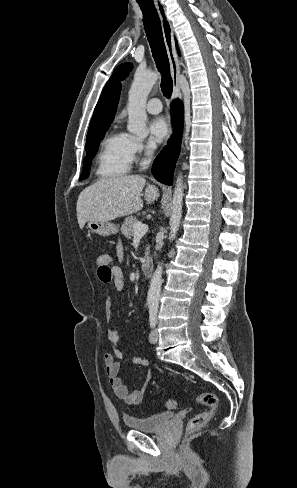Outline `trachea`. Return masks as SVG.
Wrapping results in <instances>:
<instances>
[{
    "mask_svg": "<svg viewBox=\"0 0 297 488\" xmlns=\"http://www.w3.org/2000/svg\"><path fill=\"white\" fill-rule=\"evenodd\" d=\"M138 1V0H137ZM144 16V29L152 51L156 66L161 73V90L166 98H170L173 82L170 75V65L164 44L159 16L153 2H138Z\"/></svg>",
    "mask_w": 297,
    "mask_h": 488,
    "instance_id": "obj_1",
    "label": "trachea"
}]
</instances>
